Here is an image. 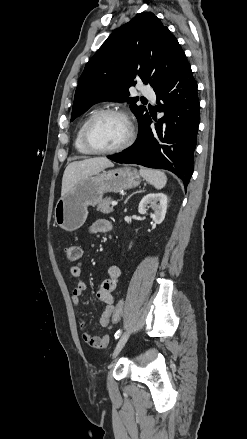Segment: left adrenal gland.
<instances>
[{
    "label": "left adrenal gland",
    "instance_id": "obj_1",
    "mask_svg": "<svg viewBox=\"0 0 247 439\" xmlns=\"http://www.w3.org/2000/svg\"><path fill=\"white\" fill-rule=\"evenodd\" d=\"M141 192H144V189L143 190H139V191H136V192H134L133 194H131L130 196H128V198L125 200V204L127 203V201L134 195V194H137V193H141Z\"/></svg>",
    "mask_w": 247,
    "mask_h": 439
}]
</instances>
